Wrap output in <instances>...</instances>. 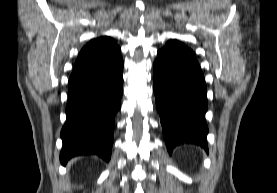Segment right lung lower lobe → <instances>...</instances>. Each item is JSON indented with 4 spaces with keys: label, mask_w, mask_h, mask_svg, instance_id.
Listing matches in <instances>:
<instances>
[{
    "label": "right lung lower lobe",
    "mask_w": 277,
    "mask_h": 193,
    "mask_svg": "<svg viewBox=\"0 0 277 193\" xmlns=\"http://www.w3.org/2000/svg\"><path fill=\"white\" fill-rule=\"evenodd\" d=\"M123 65L118 47L100 61L74 67L69 78L67 119L60 135L63 165L83 154L110 160L115 114L123 93Z\"/></svg>",
    "instance_id": "1"
}]
</instances>
